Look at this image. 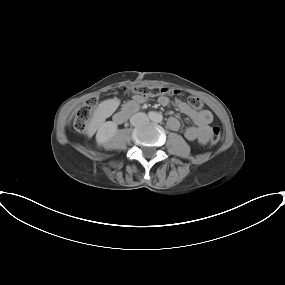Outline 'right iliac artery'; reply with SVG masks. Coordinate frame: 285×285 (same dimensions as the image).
I'll list each match as a JSON object with an SVG mask.
<instances>
[{
  "mask_svg": "<svg viewBox=\"0 0 285 285\" xmlns=\"http://www.w3.org/2000/svg\"><path fill=\"white\" fill-rule=\"evenodd\" d=\"M148 115H149V117L152 118V117L154 116V113H153V112H150Z\"/></svg>",
  "mask_w": 285,
  "mask_h": 285,
  "instance_id": "obj_1",
  "label": "right iliac artery"
}]
</instances>
